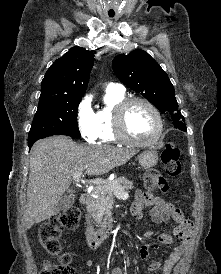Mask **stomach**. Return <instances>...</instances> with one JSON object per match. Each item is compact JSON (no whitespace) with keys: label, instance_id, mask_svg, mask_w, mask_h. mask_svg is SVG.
I'll return each mask as SVG.
<instances>
[{"label":"stomach","instance_id":"stomach-1","mask_svg":"<svg viewBox=\"0 0 221 274\" xmlns=\"http://www.w3.org/2000/svg\"><path fill=\"white\" fill-rule=\"evenodd\" d=\"M138 160L144 168L153 167L158 162V153L152 149L145 150L138 156Z\"/></svg>","mask_w":221,"mask_h":274}]
</instances>
